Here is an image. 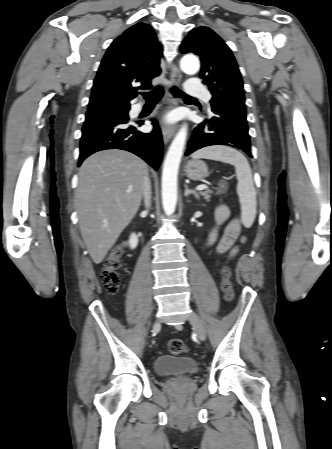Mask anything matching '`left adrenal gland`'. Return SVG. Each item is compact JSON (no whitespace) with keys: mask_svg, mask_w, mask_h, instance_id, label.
<instances>
[{"mask_svg":"<svg viewBox=\"0 0 332 449\" xmlns=\"http://www.w3.org/2000/svg\"><path fill=\"white\" fill-rule=\"evenodd\" d=\"M189 194H193L196 198H198L197 192H196L195 190H193V189H189V188H188V185L185 184V192H184V196L187 197Z\"/></svg>","mask_w":332,"mask_h":449,"instance_id":"left-adrenal-gland-1","label":"left adrenal gland"}]
</instances>
